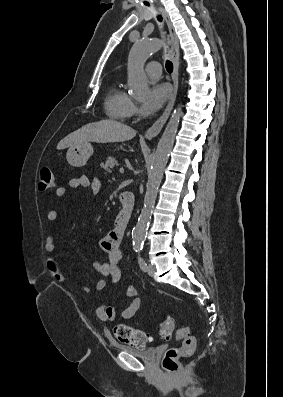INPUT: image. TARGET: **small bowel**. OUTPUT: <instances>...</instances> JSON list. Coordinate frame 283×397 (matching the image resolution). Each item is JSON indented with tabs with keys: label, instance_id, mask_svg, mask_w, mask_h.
<instances>
[{
	"label": "small bowel",
	"instance_id": "small-bowel-1",
	"mask_svg": "<svg viewBox=\"0 0 283 397\" xmlns=\"http://www.w3.org/2000/svg\"><path fill=\"white\" fill-rule=\"evenodd\" d=\"M91 185V188L94 193L98 192L100 189V182L98 180H94L90 183V180L87 176L82 175L76 178L69 180L68 188L70 189H79V188H87ZM67 187H58L56 189L57 197H64L68 193ZM58 219V212L56 210H50L47 213V220L49 222H55ZM123 232H120L118 229H113L109 233H107L101 240L100 245L102 250L107 255L106 262H94L93 268L97 273L101 276L108 278L110 284L114 285L119 282L121 278V269L120 262L122 260V252L120 250V243L122 240ZM44 249L47 253L46 258V267L54 280L60 283L70 281V277L66 275L60 268L58 261L54 256L55 251V242L54 237L52 235H48L45 238ZM107 286V281L105 279H101L97 281L93 288L96 291H101ZM81 288L85 292H90L91 287L87 283H81ZM124 295L129 299L127 306L123 309L121 313V317L125 320L131 319L140 309L141 307V299L138 297V289L134 285H128L125 288ZM96 315L99 320L102 322H112L116 319V309L112 305L101 304L96 309Z\"/></svg>",
	"mask_w": 283,
	"mask_h": 397
}]
</instances>
